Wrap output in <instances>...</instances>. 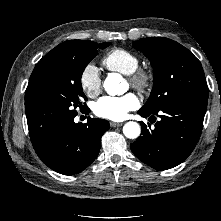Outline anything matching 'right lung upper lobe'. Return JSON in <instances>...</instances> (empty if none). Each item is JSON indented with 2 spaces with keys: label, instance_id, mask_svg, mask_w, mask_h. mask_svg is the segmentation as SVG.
Here are the masks:
<instances>
[{
  "label": "right lung upper lobe",
  "instance_id": "cb5924a9",
  "mask_svg": "<svg viewBox=\"0 0 221 221\" xmlns=\"http://www.w3.org/2000/svg\"><path fill=\"white\" fill-rule=\"evenodd\" d=\"M71 41H74V40H71ZM71 41L63 42V43L59 44L58 46L65 45V44H67V43H69V42H71ZM28 100H30V99H29V98H25V101H28Z\"/></svg>",
  "mask_w": 221,
  "mask_h": 221
}]
</instances>
